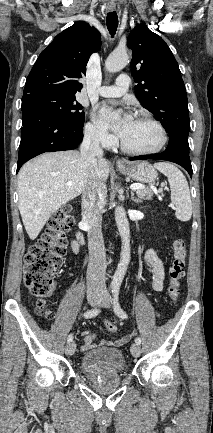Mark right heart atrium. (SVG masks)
I'll return each instance as SVG.
<instances>
[{
	"mask_svg": "<svg viewBox=\"0 0 213 433\" xmlns=\"http://www.w3.org/2000/svg\"><path fill=\"white\" fill-rule=\"evenodd\" d=\"M85 136L93 143L104 147H110L114 143V138L104 128L94 122L86 124Z\"/></svg>",
	"mask_w": 213,
	"mask_h": 433,
	"instance_id": "right-heart-atrium-1",
	"label": "right heart atrium"
}]
</instances>
